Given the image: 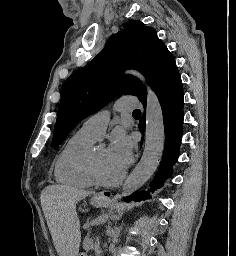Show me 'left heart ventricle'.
Masks as SVG:
<instances>
[{"label": "left heart ventricle", "mask_w": 236, "mask_h": 256, "mask_svg": "<svg viewBox=\"0 0 236 256\" xmlns=\"http://www.w3.org/2000/svg\"><path fill=\"white\" fill-rule=\"evenodd\" d=\"M93 159L96 162V164L98 165L99 169L101 170V172L107 176V177H114L116 175H118L121 171H117L115 169H113L108 161V153H107V149L102 148L97 150L94 154H93Z\"/></svg>", "instance_id": "1"}]
</instances>
